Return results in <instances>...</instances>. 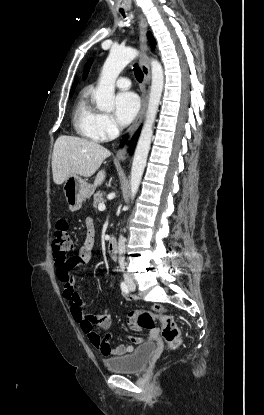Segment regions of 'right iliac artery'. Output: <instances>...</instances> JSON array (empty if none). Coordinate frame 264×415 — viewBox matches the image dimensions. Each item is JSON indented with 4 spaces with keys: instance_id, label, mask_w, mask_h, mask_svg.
<instances>
[{
    "instance_id": "1",
    "label": "right iliac artery",
    "mask_w": 264,
    "mask_h": 415,
    "mask_svg": "<svg viewBox=\"0 0 264 415\" xmlns=\"http://www.w3.org/2000/svg\"><path fill=\"white\" fill-rule=\"evenodd\" d=\"M121 289L124 293L128 294L129 293V289L128 286L126 285L125 282H121Z\"/></svg>"
}]
</instances>
